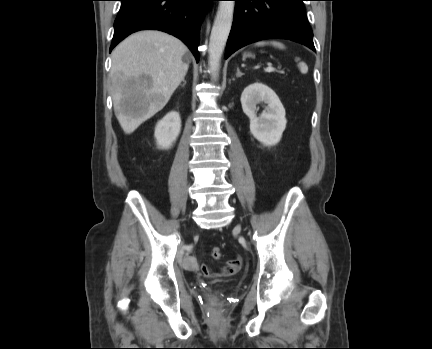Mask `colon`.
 I'll return each instance as SVG.
<instances>
[{
    "label": "colon",
    "instance_id": "obj_1",
    "mask_svg": "<svg viewBox=\"0 0 432 349\" xmlns=\"http://www.w3.org/2000/svg\"><path fill=\"white\" fill-rule=\"evenodd\" d=\"M211 255L214 259L219 260L222 257V252L219 247H213L211 250Z\"/></svg>",
    "mask_w": 432,
    "mask_h": 349
}]
</instances>
